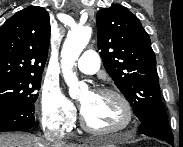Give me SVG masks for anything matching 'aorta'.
<instances>
[{"label": "aorta", "instance_id": "obj_1", "mask_svg": "<svg viewBox=\"0 0 183 147\" xmlns=\"http://www.w3.org/2000/svg\"><path fill=\"white\" fill-rule=\"evenodd\" d=\"M92 28L90 26H77L67 35L61 50V68L64 80L69 87V95L78 98L82 90L87 88L84 82L78 80L72 68L78 60L81 52L91 38Z\"/></svg>", "mask_w": 183, "mask_h": 147}]
</instances>
